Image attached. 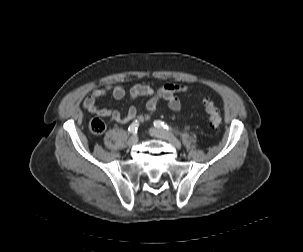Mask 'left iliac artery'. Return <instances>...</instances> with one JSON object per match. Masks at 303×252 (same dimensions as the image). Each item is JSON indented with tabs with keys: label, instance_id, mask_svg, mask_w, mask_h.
<instances>
[{
	"label": "left iliac artery",
	"instance_id": "1",
	"mask_svg": "<svg viewBox=\"0 0 303 252\" xmlns=\"http://www.w3.org/2000/svg\"><path fill=\"white\" fill-rule=\"evenodd\" d=\"M154 126L156 128H164V129H169V127L163 122V121H160V120H156L154 121Z\"/></svg>",
	"mask_w": 303,
	"mask_h": 252
}]
</instances>
